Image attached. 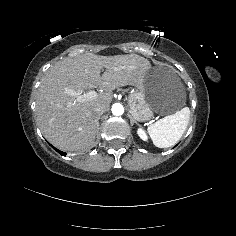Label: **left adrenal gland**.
I'll use <instances>...</instances> for the list:
<instances>
[{"label":"left adrenal gland","mask_w":236,"mask_h":236,"mask_svg":"<svg viewBox=\"0 0 236 236\" xmlns=\"http://www.w3.org/2000/svg\"><path fill=\"white\" fill-rule=\"evenodd\" d=\"M128 117L130 118V124L131 126H133L134 123H136L138 126H140V124H138L131 115L128 114Z\"/></svg>","instance_id":"left-adrenal-gland-1"}]
</instances>
